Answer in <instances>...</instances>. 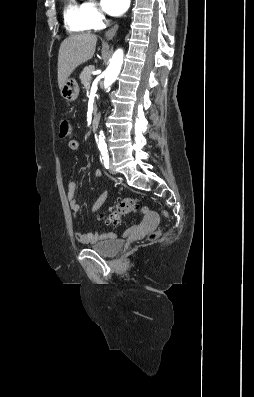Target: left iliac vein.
Returning <instances> with one entry per match:
<instances>
[{
	"label": "left iliac vein",
	"mask_w": 254,
	"mask_h": 397,
	"mask_svg": "<svg viewBox=\"0 0 254 397\" xmlns=\"http://www.w3.org/2000/svg\"><path fill=\"white\" fill-rule=\"evenodd\" d=\"M109 172H110L111 174H116L115 168L113 167L112 163H110Z\"/></svg>",
	"instance_id": "left-iliac-vein-1"
}]
</instances>
